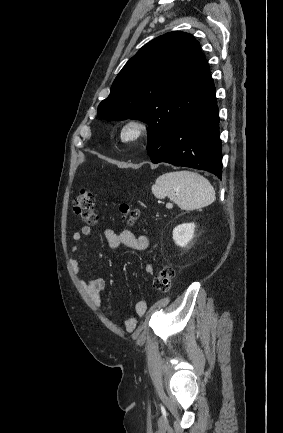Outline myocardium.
<instances>
[{
    "label": "myocardium",
    "instance_id": "1",
    "mask_svg": "<svg viewBox=\"0 0 283 433\" xmlns=\"http://www.w3.org/2000/svg\"><path fill=\"white\" fill-rule=\"evenodd\" d=\"M150 130L149 123L140 118L126 120L120 127L118 137L122 143L136 144L144 140Z\"/></svg>",
    "mask_w": 283,
    "mask_h": 433
}]
</instances>
